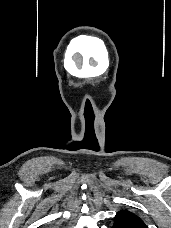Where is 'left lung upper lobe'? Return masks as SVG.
Instances as JSON below:
<instances>
[{
	"mask_svg": "<svg viewBox=\"0 0 171 228\" xmlns=\"http://www.w3.org/2000/svg\"><path fill=\"white\" fill-rule=\"evenodd\" d=\"M125 219H135L142 221V219L137 214L130 212L127 209L119 211L115 216V222L122 221Z\"/></svg>",
	"mask_w": 171,
	"mask_h": 228,
	"instance_id": "left-lung-upper-lobe-1",
	"label": "left lung upper lobe"
}]
</instances>
